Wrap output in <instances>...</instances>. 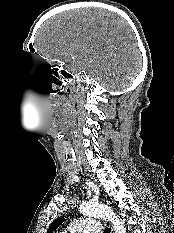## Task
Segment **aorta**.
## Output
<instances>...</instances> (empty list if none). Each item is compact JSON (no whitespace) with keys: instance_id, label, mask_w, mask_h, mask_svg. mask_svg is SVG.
<instances>
[{"instance_id":"1","label":"aorta","mask_w":174,"mask_h":233,"mask_svg":"<svg viewBox=\"0 0 174 233\" xmlns=\"http://www.w3.org/2000/svg\"><path fill=\"white\" fill-rule=\"evenodd\" d=\"M80 213L88 217L108 219L112 223L115 233H126V229L119 218L107 205L86 203L80 206Z\"/></svg>"}]
</instances>
